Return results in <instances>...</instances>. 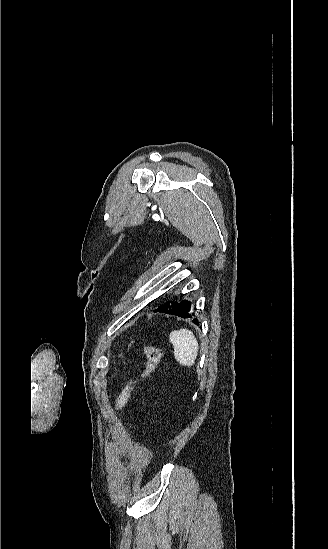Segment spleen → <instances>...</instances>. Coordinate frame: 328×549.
I'll return each mask as SVG.
<instances>
[{"mask_svg": "<svg viewBox=\"0 0 328 549\" xmlns=\"http://www.w3.org/2000/svg\"><path fill=\"white\" fill-rule=\"evenodd\" d=\"M170 343L174 347V357L183 367H193L199 345L192 331L188 329H180V331H172L169 335Z\"/></svg>", "mask_w": 328, "mask_h": 549, "instance_id": "3e777b00", "label": "spleen"}]
</instances>
